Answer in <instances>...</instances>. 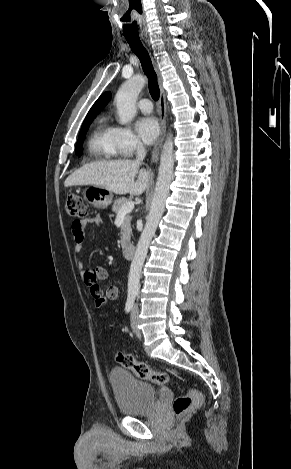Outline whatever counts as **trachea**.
I'll return each instance as SVG.
<instances>
[{
  "label": "trachea",
  "instance_id": "obj_1",
  "mask_svg": "<svg viewBox=\"0 0 291 469\" xmlns=\"http://www.w3.org/2000/svg\"><path fill=\"white\" fill-rule=\"evenodd\" d=\"M127 42L129 43L131 50L139 58L143 71L149 80V92L152 98L156 101L159 99L160 90L157 82V75L154 71L150 55L144 45L142 44L140 38L138 37H126Z\"/></svg>",
  "mask_w": 291,
  "mask_h": 469
}]
</instances>
